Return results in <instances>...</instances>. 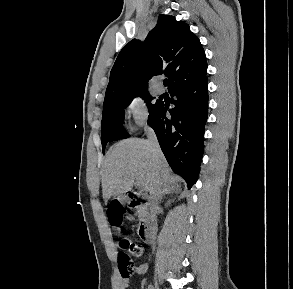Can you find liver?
<instances>
[{
  "label": "liver",
  "mask_w": 293,
  "mask_h": 289,
  "mask_svg": "<svg viewBox=\"0 0 293 289\" xmlns=\"http://www.w3.org/2000/svg\"><path fill=\"white\" fill-rule=\"evenodd\" d=\"M170 168L161 152H154L148 140L129 138L117 143L106 155L101 173L103 198L124 194L139 180L146 192L158 181L167 186Z\"/></svg>",
  "instance_id": "obj_1"
}]
</instances>
